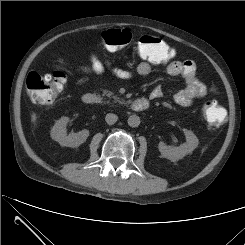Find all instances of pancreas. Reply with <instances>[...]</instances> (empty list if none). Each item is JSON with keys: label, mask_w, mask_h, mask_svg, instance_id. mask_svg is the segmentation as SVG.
Returning <instances> with one entry per match:
<instances>
[{"label": "pancreas", "mask_w": 245, "mask_h": 245, "mask_svg": "<svg viewBox=\"0 0 245 245\" xmlns=\"http://www.w3.org/2000/svg\"><path fill=\"white\" fill-rule=\"evenodd\" d=\"M103 96H107L109 98H113L114 102H119L121 104H124V101L122 99H120L119 97H117L116 95H114L111 91L104 90L103 91Z\"/></svg>", "instance_id": "1"}]
</instances>
